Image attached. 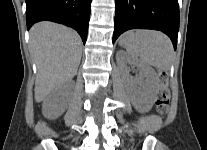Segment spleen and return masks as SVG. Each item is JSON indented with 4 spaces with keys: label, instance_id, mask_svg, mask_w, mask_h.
<instances>
[{
    "label": "spleen",
    "instance_id": "spleen-1",
    "mask_svg": "<svg viewBox=\"0 0 207 150\" xmlns=\"http://www.w3.org/2000/svg\"><path fill=\"white\" fill-rule=\"evenodd\" d=\"M126 50L130 56L139 57L143 63L163 71L170 70L174 57L170 39L162 32L153 30L133 33Z\"/></svg>",
    "mask_w": 207,
    "mask_h": 150
}]
</instances>
